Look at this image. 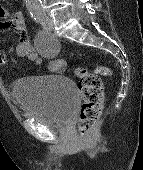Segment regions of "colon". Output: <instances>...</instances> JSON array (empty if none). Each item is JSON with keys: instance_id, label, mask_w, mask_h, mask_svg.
<instances>
[{"instance_id": "colon-1", "label": "colon", "mask_w": 143, "mask_h": 170, "mask_svg": "<svg viewBox=\"0 0 143 170\" xmlns=\"http://www.w3.org/2000/svg\"><path fill=\"white\" fill-rule=\"evenodd\" d=\"M65 61L58 64V72L65 70ZM111 69L99 66L94 72L86 68H77L75 74L79 77V91L82 107L79 115L78 131L81 138H87L92 127L98 122L103 107V85L99 75H110Z\"/></svg>"}]
</instances>
